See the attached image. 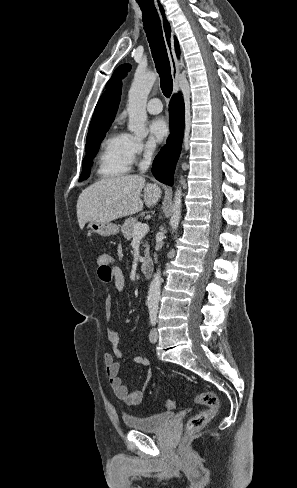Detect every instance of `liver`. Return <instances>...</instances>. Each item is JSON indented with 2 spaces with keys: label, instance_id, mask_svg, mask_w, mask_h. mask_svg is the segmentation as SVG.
Instances as JSON below:
<instances>
[{
  "label": "liver",
  "instance_id": "6515ba94",
  "mask_svg": "<svg viewBox=\"0 0 297 488\" xmlns=\"http://www.w3.org/2000/svg\"><path fill=\"white\" fill-rule=\"evenodd\" d=\"M160 197L159 186L146 183L138 175L101 179L84 189L78 198L79 227L83 229L90 221L105 223L133 215L143 209L144 203L149 208L155 206Z\"/></svg>",
  "mask_w": 297,
  "mask_h": 488
}]
</instances>
